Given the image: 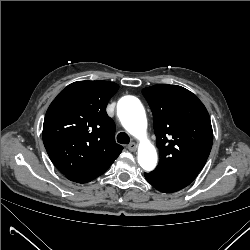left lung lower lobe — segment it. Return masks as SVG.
<instances>
[{"label": "left lung lower lobe", "instance_id": "1", "mask_svg": "<svg viewBox=\"0 0 250 250\" xmlns=\"http://www.w3.org/2000/svg\"><path fill=\"white\" fill-rule=\"evenodd\" d=\"M199 171L144 173L146 180L161 192H176L188 186L198 175Z\"/></svg>", "mask_w": 250, "mask_h": 250}]
</instances>
